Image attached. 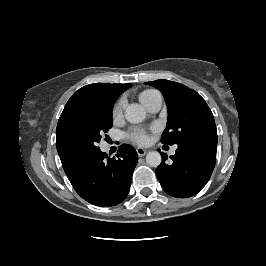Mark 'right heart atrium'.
<instances>
[{
	"label": "right heart atrium",
	"mask_w": 266,
	"mask_h": 266,
	"mask_svg": "<svg viewBox=\"0 0 266 266\" xmlns=\"http://www.w3.org/2000/svg\"><path fill=\"white\" fill-rule=\"evenodd\" d=\"M123 109H124V101L121 99L115 106L113 109V116L114 118H119L122 113H123Z\"/></svg>",
	"instance_id": "1"
}]
</instances>
